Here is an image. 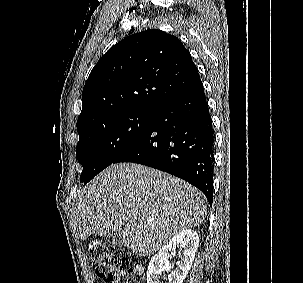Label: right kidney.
Masks as SVG:
<instances>
[{"instance_id": "right-kidney-1", "label": "right kidney", "mask_w": 303, "mask_h": 283, "mask_svg": "<svg viewBox=\"0 0 303 283\" xmlns=\"http://www.w3.org/2000/svg\"><path fill=\"white\" fill-rule=\"evenodd\" d=\"M198 245L199 236L194 230L186 229L175 234L159 253L151 258L147 269V283H160L159 275L163 270H170L168 259L176 253V249H183V252L177 267L170 272L168 283H183L192 266Z\"/></svg>"}]
</instances>
